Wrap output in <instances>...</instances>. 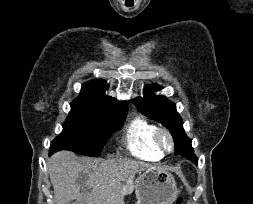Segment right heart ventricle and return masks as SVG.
Listing matches in <instances>:
<instances>
[{
	"mask_svg": "<svg viewBox=\"0 0 253 204\" xmlns=\"http://www.w3.org/2000/svg\"><path fill=\"white\" fill-rule=\"evenodd\" d=\"M157 127L141 116L133 118L124 131V143L134 155L158 161L163 157L155 144L154 135Z\"/></svg>",
	"mask_w": 253,
	"mask_h": 204,
	"instance_id": "obj_1",
	"label": "right heart ventricle"
}]
</instances>
